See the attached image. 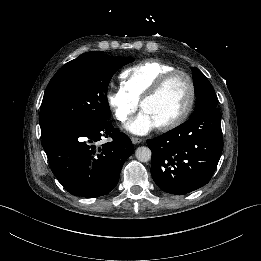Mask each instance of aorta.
Instances as JSON below:
<instances>
[{"instance_id":"1","label":"aorta","mask_w":261,"mask_h":261,"mask_svg":"<svg viewBox=\"0 0 261 261\" xmlns=\"http://www.w3.org/2000/svg\"><path fill=\"white\" fill-rule=\"evenodd\" d=\"M135 155H136V159L139 162L145 163V162L150 161L151 156H152V152L148 147H139L136 150Z\"/></svg>"}]
</instances>
